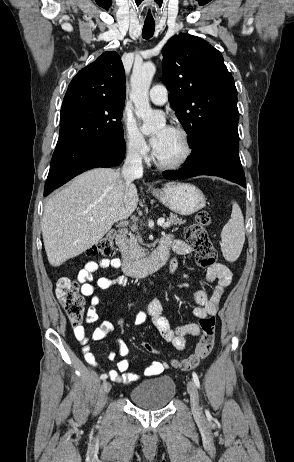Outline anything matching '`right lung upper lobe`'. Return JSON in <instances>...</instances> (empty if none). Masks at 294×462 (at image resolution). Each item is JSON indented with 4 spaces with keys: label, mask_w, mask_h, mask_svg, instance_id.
Here are the masks:
<instances>
[{
    "label": "right lung upper lobe",
    "mask_w": 294,
    "mask_h": 462,
    "mask_svg": "<svg viewBox=\"0 0 294 462\" xmlns=\"http://www.w3.org/2000/svg\"><path fill=\"white\" fill-rule=\"evenodd\" d=\"M125 73L115 51L104 52L70 82L64 102L76 99L125 100Z\"/></svg>",
    "instance_id": "obj_1"
}]
</instances>
